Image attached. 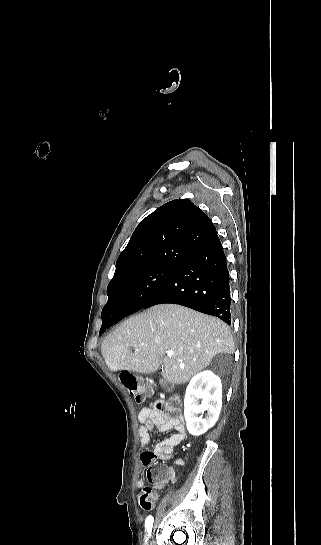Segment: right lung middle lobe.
Listing matches in <instances>:
<instances>
[{
	"label": "right lung middle lobe",
	"instance_id": "1",
	"mask_svg": "<svg viewBox=\"0 0 321 545\" xmlns=\"http://www.w3.org/2000/svg\"><path fill=\"white\" fill-rule=\"evenodd\" d=\"M179 267L180 265L158 264L118 275L108 285L106 305L120 306L124 316L137 312L166 284ZM106 324L107 321L102 314L101 329Z\"/></svg>",
	"mask_w": 321,
	"mask_h": 545
}]
</instances>
